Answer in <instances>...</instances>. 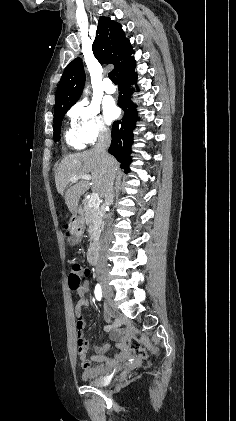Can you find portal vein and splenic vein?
<instances>
[{
	"instance_id": "obj_1",
	"label": "portal vein and splenic vein",
	"mask_w": 236,
	"mask_h": 421,
	"mask_svg": "<svg viewBox=\"0 0 236 421\" xmlns=\"http://www.w3.org/2000/svg\"><path fill=\"white\" fill-rule=\"evenodd\" d=\"M79 178H85V180H91L92 176L91 174H79V176H71L70 180L71 182H76V180H79ZM99 202H100V198L97 192H92L91 198H89V206H98Z\"/></svg>"
}]
</instances>
